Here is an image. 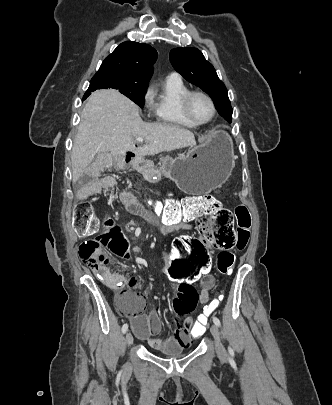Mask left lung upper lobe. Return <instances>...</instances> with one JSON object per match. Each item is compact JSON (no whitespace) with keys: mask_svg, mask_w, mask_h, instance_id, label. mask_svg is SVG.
<instances>
[{"mask_svg":"<svg viewBox=\"0 0 332 405\" xmlns=\"http://www.w3.org/2000/svg\"><path fill=\"white\" fill-rule=\"evenodd\" d=\"M170 61L175 70L187 81L210 95L223 118L228 122L232 121L233 109L227 89L201 51L192 47L174 48L170 51Z\"/></svg>","mask_w":332,"mask_h":405,"instance_id":"obj_1","label":"left lung upper lobe"}]
</instances>
